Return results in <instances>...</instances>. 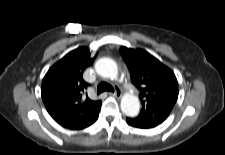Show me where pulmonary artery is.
<instances>
[{
	"mask_svg": "<svg viewBox=\"0 0 225 155\" xmlns=\"http://www.w3.org/2000/svg\"><path fill=\"white\" fill-rule=\"evenodd\" d=\"M126 88H127V89H132L131 85L128 84V83H126Z\"/></svg>",
	"mask_w": 225,
	"mask_h": 155,
	"instance_id": "1",
	"label": "pulmonary artery"
}]
</instances>
